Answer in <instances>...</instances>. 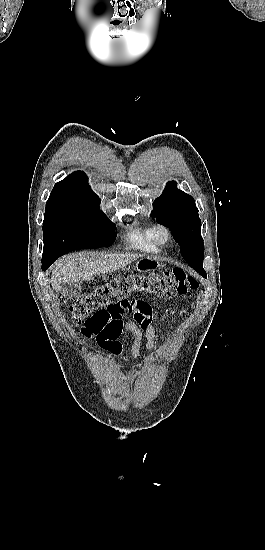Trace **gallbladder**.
Listing matches in <instances>:
<instances>
[{
  "label": "gallbladder",
  "instance_id": "gallbladder-1",
  "mask_svg": "<svg viewBox=\"0 0 265 550\" xmlns=\"http://www.w3.org/2000/svg\"><path fill=\"white\" fill-rule=\"evenodd\" d=\"M61 290L65 298L73 299L81 293V286L78 283L70 282L64 284Z\"/></svg>",
  "mask_w": 265,
  "mask_h": 550
}]
</instances>
